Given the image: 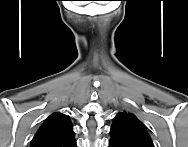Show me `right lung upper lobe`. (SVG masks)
Segmentation results:
<instances>
[{
    "instance_id": "cb5924a9",
    "label": "right lung upper lobe",
    "mask_w": 188,
    "mask_h": 147,
    "mask_svg": "<svg viewBox=\"0 0 188 147\" xmlns=\"http://www.w3.org/2000/svg\"><path fill=\"white\" fill-rule=\"evenodd\" d=\"M31 147H76L73 126L68 115H50L31 142Z\"/></svg>"
}]
</instances>
